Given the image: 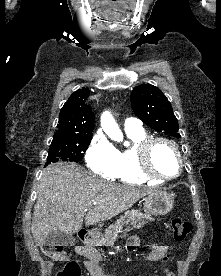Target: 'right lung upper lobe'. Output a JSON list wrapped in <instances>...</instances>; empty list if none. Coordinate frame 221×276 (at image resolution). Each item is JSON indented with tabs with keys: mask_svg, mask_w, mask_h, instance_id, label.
Listing matches in <instances>:
<instances>
[{
	"mask_svg": "<svg viewBox=\"0 0 221 276\" xmlns=\"http://www.w3.org/2000/svg\"><path fill=\"white\" fill-rule=\"evenodd\" d=\"M89 90L79 89L72 93L60 110L58 130L53 140H68L80 137H92L94 129V113L86 103Z\"/></svg>",
	"mask_w": 221,
	"mask_h": 276,
	"instance_id": "obj_1",
	"label": "right lung upper lobe"
}]
</instances>
